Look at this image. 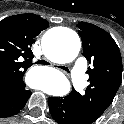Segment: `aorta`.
Masks as SVG:
<instances>
[{"mask_svg":"<svg viewBox=\"0 0 124 124\" xmlns=\"http://www.w3.org/2000/svg\"><path fill=\"white\" fill-rule=\"evenodd\" d=\"M43 48L47 57L58 63L73 61L80 51L79 36L71 29L60 28L54 35L47 34L43 39ZM52 87L46 85L43 76H36L31 81L34 89L46 90L48 94L63 96L70 91L68 79L61 73Z\"/></svg>","mask_w":124,"mask_h":124,"instance_id":"762f6f07","label":"aorta"}]
</instances>
